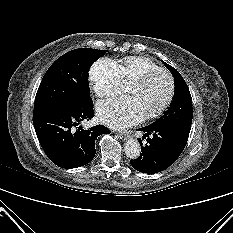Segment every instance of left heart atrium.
I'll return each instance as SVG.
<instances>
[{"instance_id": "left-heart-atrium-1", "label": "left heart atrium", "mask_w": 233, "mask_h": 233, "mask_svg": "<svg viewBox=\"0 0 233 233\" xmlns=\"http://www.w3.org/2000/svg\"><path fill=\"white\" fill-rule=\"evenodd\" d=\"M99 120L114 128H125L140 122L145 110L136 96H116L101 101L96 107Z\"/></svg>"}]
</instances>
